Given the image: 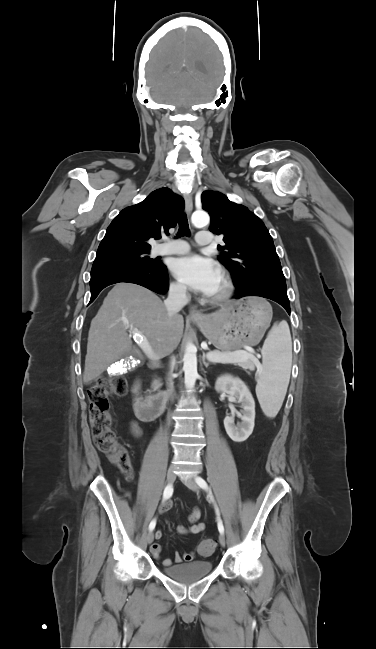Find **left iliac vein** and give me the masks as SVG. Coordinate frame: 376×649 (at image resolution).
<instances>
[{"mask_svg":"<svg viewBox=\"0 0 376 649\" xmlns=\"http://www.w3.org/2000/svg\"><path fill=\"white\" fill-rule=\"evenodd\" d=\"M185 485L194 492H199L198 484L191 478L184 480ZM219 542L222 546H225L226 539L223 533L219 535Z\"/></svg>","mask_w":376,"mask_h":649,"instance_id":"4c4485c4","label":"left iliac vein"}]
</instances>
